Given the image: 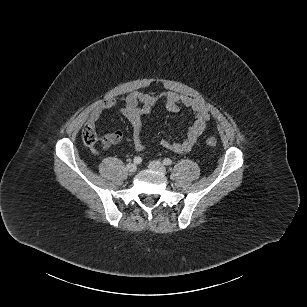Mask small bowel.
Returning <instances> with one entry per match:
<instances>
[{
	"instance_id": "1",
	"label": "small bowel",
	"mask_w": 307,
	"mask_h": 307,
	"mask_svg": "<svg viewBox=\"0 0 307 307\" xmlns=\"http://www.w3.org/2000/svg\"><path fill=\"white\" fill-rule=\"evenodd\" d=\"M163 100L165 106L170 112H178L181 106L190 109L195 119L190 125L186 137L181 141H172L164 139L161 145L178 154L189 152L198 138L205 132L209 120L210 113L203 102L188 96H180L174 92H166L157 97L149 93L132 92L124 97V104L120 108V113L131 124L133 145L136 151L142 152L145 148L142 132H143V116L148 114L158 100ZM116 100L111 98L101 102L90 114L88 123L94 125L100 118L102 112L116 105ZM120 133V132H119Z\"/></svg>"
}]
</instances>
